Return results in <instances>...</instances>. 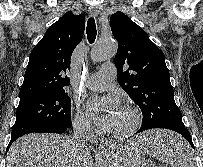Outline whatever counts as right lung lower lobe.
<instances>
[{"label":"right lung lower lobe","instance_id":"right-lung-lower-lobe-1","mask_svg":"<svg viewBox=\"0 0 203 167\" xmlns=\"http://www.w3.org/2000/svg\"><path fill=\"white\" fill-rule=\"evenodd\" d=\"M70 127H53V128H46L43 130L38 131L39 133H64L68 131ZM17 138H11V141L7 147V150L9 149L10 145L15 141Z\"/></svg>","mask_w":203,"mask_h":167}]
</instances>
